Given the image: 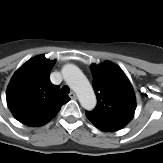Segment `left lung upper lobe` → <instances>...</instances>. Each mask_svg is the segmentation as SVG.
I'll return each instance as SVG.
<instances>
[{
  "instance_id": "left-lung-upper-lobe-1",
  "label": "left lung upper lobe",
  "mask_w": 163,
  "mask_h": 163,
  "mask_svg": "<svg viewBox=\"0 0 163 163\" xmlns=\"http://www.w3.org/2000/svg\"><path fill=\"white\" fill-rule=\"evenodd\" d=\"M91 70L98 100L93 111H86L87 118L100 122L129 123L136 109V98L124 72L109 61L93 64Z\"/></svg>"
}]
</instances>
